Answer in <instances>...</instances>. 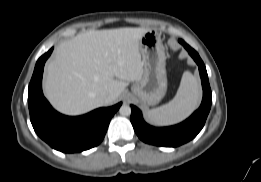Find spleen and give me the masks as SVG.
Instances as JSON below:
<instances>
[{
    "instance_id": "spleen-1",
    "label": "spleen",
    "mask_w": 261,
    "mask_h": 182,
    "mask_svg": "<svg viewBox=\"0 0 261 182\" xmlns=\"http://www.w3.org/2000/svg\"><path fill=\"white\" fill-rule=\"evenodd\" d=\"M200 98L198 78L186 71L182 75L175 97L169 103L149 110L147 116L151 122L160 126L178 123L198 107Z\"/></svg>"
}]
</instances>
